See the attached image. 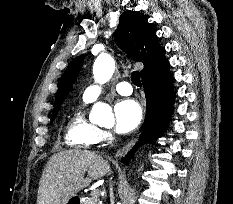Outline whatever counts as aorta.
<instances>
[{"mask_svg": "<svg viewBox=\"0 0 233 204\" xmlns=\"http://www.w3.org/2000/svg\"><path fill=\"white\" fill-rule=\"evenodd\" d=\"M115 70V61L108 54H102L97 57L93 65V75L97 83H106L113 75ZM89 119L97 124L114 123V115L111 107L103 102H97L93 105Z\"/></svg>", "mask_w": 233, "mask_h": 204, "instance_id": "aorta-1", "label": "aorta"}]
</instances>
